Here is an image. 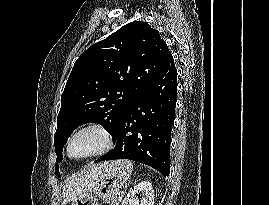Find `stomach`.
<instances>
[{"mask_svg":"<svg viewBox=\"0 0 269 205\" xmlns=\"http://www.w3.org/2000/svg\"><path fill=\"white\" fill-rule=\"evenodd\" d=\"M132 170L133 164L128 160L110 162L99 176L95 187L82 197L73 200L71 205H100V201L109 205L115 203Z\"/></svg>","mask_w":269,"mask_h":205,"instance_id":"stomach-1","label":"stomach"}]
</instances>
